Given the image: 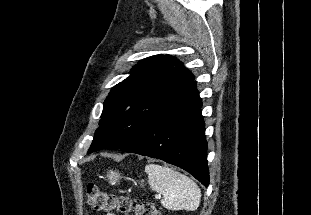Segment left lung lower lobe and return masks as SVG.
<instances>
[{
    "instance_id": "left-lung-lower-lobe-1",
    "label": "left lung lower lobe",
    "mask_w": 311,
    "mask_h": 215,
    "mask_svg": "<svg viewBox=\"0 0 311 215\" xmlns=\"http://www.w3.org/2000/svg\"><path fill=\"white\" fill-rule=\"evenodd\" d=\"M201 107L202 100L193 80L162 107L121 151L161 159L178 166L207 187V141Z\"/></svg>"
}]
</instances>
